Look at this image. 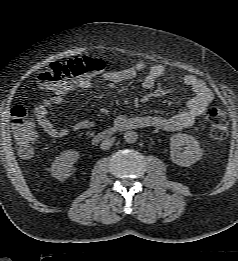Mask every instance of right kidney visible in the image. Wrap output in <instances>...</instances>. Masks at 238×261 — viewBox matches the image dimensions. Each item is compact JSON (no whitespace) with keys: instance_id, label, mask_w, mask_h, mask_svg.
Masks as SVG:
<instances>
[{"instance_id":"1","label":"right kidney","mask_w":238,"mask_h":261,"mask_svg":"<svg viewBox=\"0 0 238 261\" xmlns=\"http://www.w3.org/2000/svg\"><path fill=\"white\" fill-rule=\"evenodd\" d=\"M79 159V153L76 150L69 149L60 153L51 166V175L65 181L73 173V164Z\"/></svg>"}]
</instances>
